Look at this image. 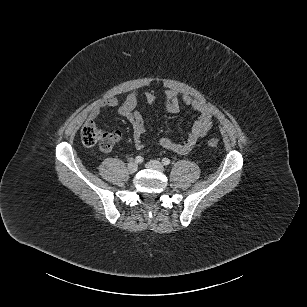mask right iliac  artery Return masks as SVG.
Segmentation results:
<instances>
[{"mask_svg": "<svg viewBox=\"0 0 307 307\" xmlns=\"http://www.w3.org/2000/svg\"><path fill=\"white\" fill-rule=\"evenodd\" d=\"M135 162H136L137 164H141V163L143 162V157L137 156V157L135 158Z\"/></svg>", "mask_w": 307, "mask_h": 307, "instance_id": "right-iliac-artery-1", "label": "right iliac artery"}]
</instances>
